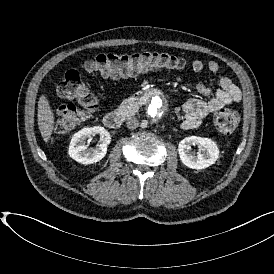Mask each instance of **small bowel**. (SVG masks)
Here are the masks:
<instances>
[{"label":"small bowel","instance_id":"1","mask_svg":"<svg viewBox=\"0 0 274 274\" xmlns=\"http://www.w3.org/2000/svg\"><path fill=\"white\" fill-rule=\"evenodd\" d=\"M191 68L195 73H201L205 69L211 73H216L219 70V64L216 61H209L205 65L203 61L195 59L191 64ZM113 78H117V76H113ZM218 84L219 88L211 99L204 101L194 98L183 105L182 126L184 129L199 127L209 115L242 99L241 90L228 76H219ZM196 91L203 96H209L212 93L211 88L203 83L196 85Z\"/></svg>","mask_w":274,"mask_h":274}]
</instances>
